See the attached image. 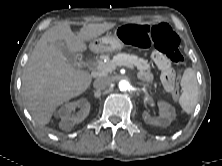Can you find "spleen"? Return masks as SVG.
<instances>
[{
    "label": "spleen",
    "instance_id": "spleen-1",
    "mask_svg": "<svg viewBox=\"0 0 222 166\" xmlns=\"http://www.w3.org/2000/svg\"><path fill=\"white\" fill-rule=\"evenodd\" d=\"M181 87L182 94L179 98V104L187 114H191L198 100V83L192 68L185 69L181 79Z\"/></svg>",
    "mask_w": 222,
    "mask_h": 166
}]
</instances>
